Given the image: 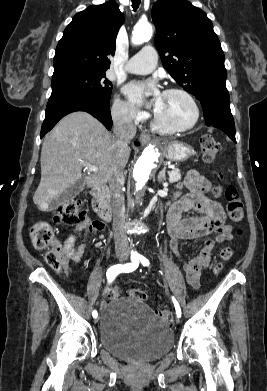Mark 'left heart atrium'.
<instances>
[{
	"mask_svg": "<svg viewBox=\"0 0 267 391\" xmlns=\"http://www.w3.org/2000/svg\"><path fill=\"white\" fill-rule=\"evenodd\" d=\"M147 91H151L152 93V98L147 104L156 110L157 102L162 94L154 81L132 82L125 88L126 95L131 101L137 104H144L146 102L145 93Z\"/></svg>",
	"mask_w": 267,
	"mask_h": 391,
	"instance_id": "left-heart-atrium-1",
	"label": "left heart atrium"
}]
</instances>
